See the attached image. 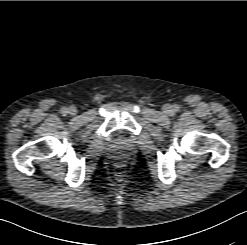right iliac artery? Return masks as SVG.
Returning a JSON list of instances; mask_svg holds the SVG:
<instances>
[{
    "label": "right iliac artery",
    "instance_id": "obj_1",
    "mask_svg": "<svg viewBox=\"0 0 247 245\" xmlns=\"http://www.w3.org/2000/svg\"><path fill=\"white\" fill-rule=\"evenodd\" d=\"M68 113V108L63 107L61 108V114L66 115Z\"/></svg>",
    "mask_w": 247,
    "mask_h": 245
}]
</instances>
